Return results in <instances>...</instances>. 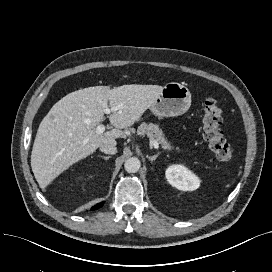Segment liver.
Wrapping results in <instances>:
<instances>
[{
    "instance_id": "1",
    "label": "liver",
    "mask_w": 272,
    "mask_h": 272,
    "mask_svg": "<svg viewBox=\"0 0 272 272\" xmlns=\"http://www.w3.org/2000/svg\"><path fill=\"white\" fill-rule=\"evenodd\" d=\"M162 90L159 85L94 86L69 93L55 103L39 125L31 154L39 186L44 189L102 144L116 143L123 134L121 129L138 121ZM108 106H120L109 115L115 128L98 134L96 127L104 120Z\"/></svg>"
}]
</instances>
